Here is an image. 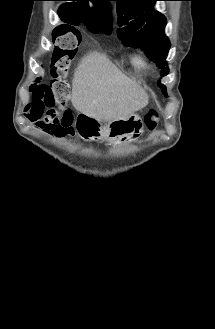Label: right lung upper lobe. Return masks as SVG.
<instances>
[{
	"mask_svg": "<svg viewBox=\"0 0 215 329\" xmlns=\"http://www.w3.org/2000/svg\"><path fill=\"white\" fill-rule=\"evenodd\" d=\"M73 1L63 4L59 9V16L64 22H69L75 17L83 19L84 23L91 24L104 33L112 31L111 0H62ZM99 3L93 9L89 8L88 2ZM69 28V25H65Z\"/></svg>",
	"mask_w": 215,
	"mask_h": 329,
	"instance_id": "obj_1",
	"label": "right lung upper lobe"
}]
</instances>
